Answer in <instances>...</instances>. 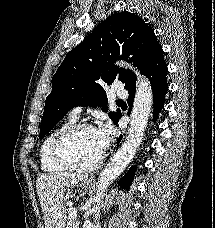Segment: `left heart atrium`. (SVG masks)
<instances>
[{"instance_id":"obj_1","label":"left heart atrium","mask_w":215,"mask_h":228,"mask_svg":"<svg viewBox=\"0 0 215 228\" xmlns=\"http://www.w3.org/2000/svg\"><path fill=\"white\" fill-rule=\"evenodd\" d=\"M96 134L100 147L105 151L114 139L112 123L109 120L105 121V123L96 130Z\"/></svg>"}]
</instances>
